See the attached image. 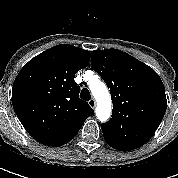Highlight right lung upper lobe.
<instances>
[{"mask_svg":"<svg viewBox=\"0 0 178 178\" xmlns=\"http://www.w3.org/2000/svg\"><path fill=\"white\" fill-rule=\"evenodd\" d=\"M89 60V51L60 44L31 59L18 73L12 88L13 108L38 142L64 145L94 114L89 104L79 99L80 87L74 81L76 72Z\"/></svg>","mask_w":178,"mask_h":178,"instance_id":"obj_1","label":"right lung upper lobe"}]
</instances>
